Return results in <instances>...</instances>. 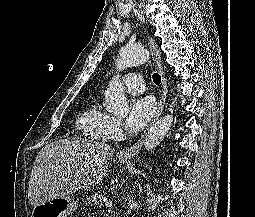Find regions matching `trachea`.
<instances>
[{"instance_id": "3493384b", "label": "trachea", "mask_w": 255, "mask_h": 217, "mask_svg": "<svg viewBox=\"0 0 255 217\" xmlns=\"http://www.w3.org/2000/svg\"><path fill=\"white\" fill-rule=\"evenodd\" d=\"M152 78H153V82L156 85H159L161 83V76L158 73H154Z\"/></svg>"}]
</instances>
